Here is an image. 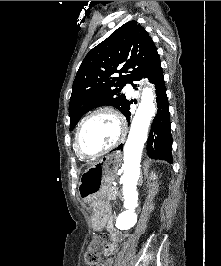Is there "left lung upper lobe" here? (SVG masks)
Wrapping results in <instances>:
<instances>
[{"label":"left lung upper lobe","mask_w":221,"mask_h":266,"mask_svg":"<svg viewBox=\"0 0 221 266\" xmlns=\"http://www.w3.org/2000/svg\"><path fill=\"white\" fill-rule=\"evenodd\" d=\"M159 63L157 48L140 24L129 21L115 30L89 51L78 69L69 104L70 130L86 112L99 106L111 105L123 113L128 100L121 89ZM115 72L119 77L112 76Z\"/></svg>","instance_id":"obj_1"}]
</instances>
